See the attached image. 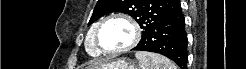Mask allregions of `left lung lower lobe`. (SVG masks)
<instances>
[{"label": "left lung lower lobe", "mask_w": 246, "mask_h": 69, "mask_svg": "<svg viewBox=\"0 0 246 69\" xmlns=\"http://www.w3.org/2000/svg\"><path fill=\"white\" fill-rule=\"evenodd\" d=\"M133 50L162 54L172 59L182 69H186L187 35L181 6L179 5L160 22L145 30Z\"/></svg>", "instance_id": "obj_1"}]
</instances>
